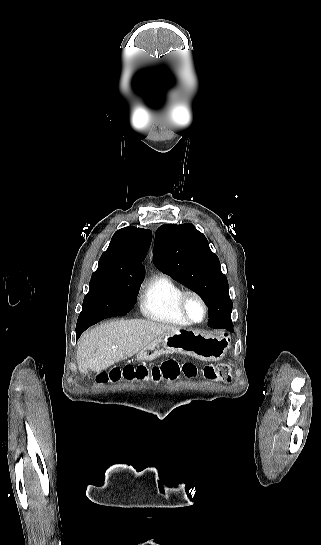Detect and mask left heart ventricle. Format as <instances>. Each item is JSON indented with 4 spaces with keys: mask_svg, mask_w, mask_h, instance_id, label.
I'll use <instances>...</instances> for the list:
<instances>
[{
    "mask_svg": "<svg viewBox=\"0 0 321 545\" xmlns=\"http://www.w3.org/2000/svg\"><path fill=\"white\" fill-rule=\"evenodd\" d=\"M187 311L194 320H200L203 316V307L195 297L187 299Z\"/></svg>",
    "mask_w": 321,
    "mask_h": 545,
    "instance_id": "b2bd125f",
    "label": "left heart ventricle"
}]
</instances>
